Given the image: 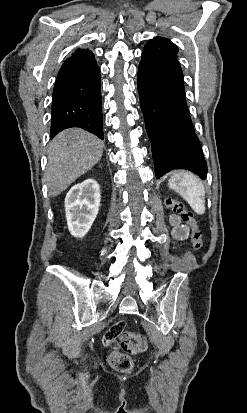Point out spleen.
Returning a JSON list of instances; mask_svg holds the SVG:
<instances>
[{
	"mask_svg": "<svg viewBox=\"0 0 247 413\" xmlns=\"http://www.w3.org/2000/svg\"><path fill=\"white\" fill-rule=\"evenodd\" d=\"M169 186L189 202L197 215L205 213V186L199 176L187 170H179L170 178Z\"/></svg>",
	"mask_w": 247,
	"mask_h": 413,
	"instance_id": "obj_1",
	"label": "spleen"
}]
</instances>
